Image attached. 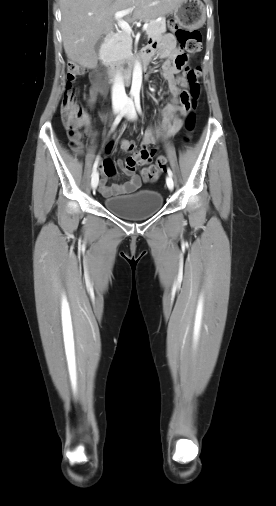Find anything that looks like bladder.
<instances>
[{"label": "bladder", "mask_w": 276, "mask_h": 506, "mask_svg": "<svg viewBox=\"0 0 276 506\" xmlns=\"http://www.w3.org/2000/svg\"><path fill=\"white\" fill-rule=\"evenodd\" d=\"M105 207L126 219H140L155 214L163 205V195L156 190H140L130 194L106 197Z\"/></svg>", "instance_id": "31cf9c89"}]
</instances>
